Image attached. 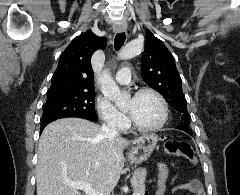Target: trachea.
Returning <instances> with one entry per match:
<instances>
[{
	"instance_id": "obj_1",
	"label": "trachea",
	"mask_w": 240,
	"mask_h": 195,
	"mask_svg": "<svg viewBox=\"0 0 240 195\" xmlns=\"http://www.w3.org/2000/svg\"><path fill=\"white\" fill-rule=\"evenodd\" d=\"M126 39L125 32L117 33L115 39H114V48L115 50H120V48L124 45Z\"/></svg>"
}]
</instances>
